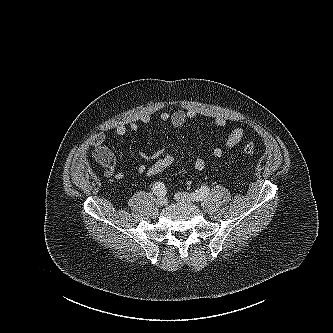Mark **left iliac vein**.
<instances>
[{"label": "left iliac vein", "instance_id": "4c4485c4", "mask_svg": "<svg viewBox=\"0 0 333 333\" xmlns=\"http://www.w3.org/2000/svg\"><path fill=\"white\" fill-rule=\"evenodd\" d=\"M175 199L178 201V202H182V203H193L194 201H196V198L192 195V194H189V193H186V192H178L175 194Z\"/></svg>", "mask_w": 333, "mask_h": 333}]
</instances>
